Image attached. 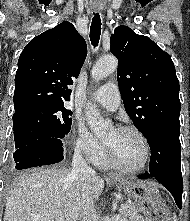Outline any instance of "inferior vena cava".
<instances>
[{
	"instance_id": "602c4592",
	"label": "inferior vena cava",
	"mask_w": 190,
	"mask_h": 221,
	"mask_svg": "<svg viewBox=\"0 0 190 221\" xmlns=\"http://www.w3.org/2000/svg\"><path fill=\"white\" fill-rule=\"evenodd\" d=\"M92 174H94V170L83 159L80 146H76L70 176L75 179L78 187L85 188ZM80 221H98L92 198H86Z\"/></svg>"
}]
</instances>
